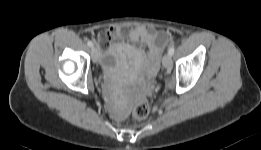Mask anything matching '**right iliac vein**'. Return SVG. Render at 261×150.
Listing matches in <instances>:
<instances>
[{
    "instance_id": "1",
    "label": "right iliac vein",
    "mask_w": 261,
    "mask_h": 150,
    "mask_svg": "<svg viewBox=\"0 0 261 150\" xmlns=\"http://www.w3.org/2000/svg\"><path fill=\"white\" fill-rule=\"evenodd\" d=\"M91 55L94 62L98 60L99 57V50L96 46H92L91 48Z\"/></svg>"
}]
</instances>
